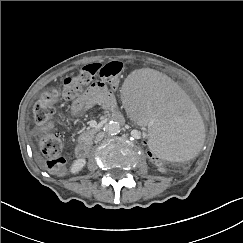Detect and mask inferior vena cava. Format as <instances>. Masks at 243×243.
Listing matches in <instances>:
<instances>
[{
    "instance_id": "602c4592",
    "label": "inferior vena cava",
    "mask_w": 243,
    "mask_h": 243,
    "mask_svg": "<svg viewBox=\"0 0 243 243\" xmlns=\"http://www.w3.org/2000/svg\"><path fill=\"white\" fill-rule=\"evenodd\" d=\"M104 136H105V133H104V132H99V133L96 135V137H95V139H94V142H95V143L100 142V141L104 138Z\"/></svg>"
}]
</instances>
